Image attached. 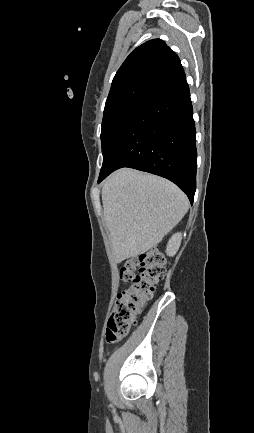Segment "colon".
<instances>
[{
  "label": "colon",
  "instance_id": "1",
  "mask_svg": "<svg viewBox=\"0 0 254 433\" xmlns=\"http://www.w3.org/2000/svg\"><path fill=\"white\" fill-rule=\"evenodd\" d=\"M165 258L156 249L126 260L120 266V277L128 283L117 297L106 330V340L114 344L123 339L136 324L156 286L165 276Z\"/></svg>",
  "mask_w": 254,
  "mask_h": 433
}]
</instances>
